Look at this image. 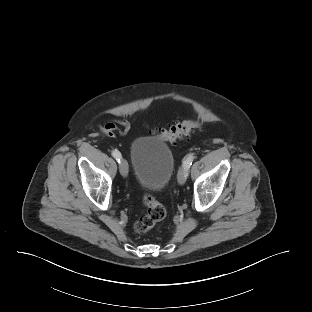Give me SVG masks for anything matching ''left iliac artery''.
<instances>
[{
	"label": "left iliac artery",
	"mask_w": 312,
	"mask_h": 312,
	"mask_svg": "<svg viewBox=\"0 0 312 312\" xmlns=\"http://www.w3.org/2000/svg\"><path fill=\"white\" fill-rule=\"evenodd\" d=\"M194 159V155L193 154H189L183 161V166L188 170L190 168V166L192 165Z\"/></svg>",
	"instance_id": "1"
}]
</instances>
